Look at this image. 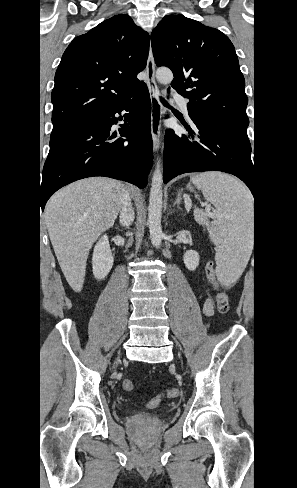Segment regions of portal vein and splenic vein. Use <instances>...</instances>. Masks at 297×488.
<instances>
[{
	"mask_svg": "<svg viewBox=\"0 0 297 488\" xmlns=\"http://www.w3.org/2000/svg\"><path fill=\"white\" fill-rule=\"evenodd\" d=\"M189 209H190V207H189V205H188V206H187V211H189ZM206 210H207V211H209V210H210V206H209V205H207V206H206Z\"/></svg>",
	"mask_w": 297,
	"mask_h": 488,
	"instance_id": "portal-vein-and-splenic-vein-1",
	"label": "portal vein and splenic vein"
}]
</instances>
